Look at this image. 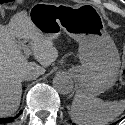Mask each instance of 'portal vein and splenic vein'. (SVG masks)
I'll use <instances>...</instances> for the list:
<instances>
[{"instance_id": "18ae733b", "label": "portal vein and splenic vein", "mask_w": 125, "mask_h": 125, "mask_svg": "<svg viewBox=\"0 0 125 125\" xmlns=\"http://www.w3.org/2000/svg\"><path fill=\"white\" fill-rule=\"evenodd\" d=\"M20 46H21V48H22L23 51H24V54H25L24 56H25L26 58H28L29 55L31 54V50L28 48L27 45L24 44V42H20Z\"/></svg>"}]
</instances>
